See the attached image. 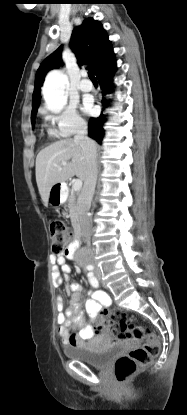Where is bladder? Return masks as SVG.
Returning a JSON list of instances; mask_svg holds the SVG:
<instances>
[{"label":"bladder","instance_id":"obj_1","mask_svg":"<svg viewBox=\"0 0 187 415\" xmlns=\"http://www.w3.org/2000/svg\"><path fill=\"white\" fill-rule=\"evenodd\" d=\"M120 349L121 346L116 345L107 350L93 352L80 346H67L64 348V354L69 359L79 360L94 368H104Z\"/></svg>","mask_w":187,"mask_h":415}]
</instances>
